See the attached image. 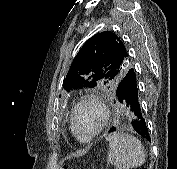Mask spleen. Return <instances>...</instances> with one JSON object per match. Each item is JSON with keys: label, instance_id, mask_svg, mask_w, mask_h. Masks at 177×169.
Instances as JSON below:
<instances>
[{"label": "spleen", "instance_id": "obj_1", "mask_svg": "<svg viewBox=\"0 0 177 169\" xmlns=\"http://www.w3.org/2000/svg\"><path fill=\"white\" fill-rule=\"evenodd\" d=\"M109 143L107 162L116 169H132L145 162V151L141 142L134 136L114 132L105 137Z\"/></svg>", "mask_w": 177, "mask_h": 169}]
</instances>
